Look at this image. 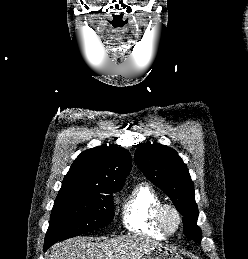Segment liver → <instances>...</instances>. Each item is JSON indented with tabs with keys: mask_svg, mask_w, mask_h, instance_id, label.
Listing matches in <instances>:
<instances>
[{
	"mask_svg": "<svg viewBox=\"0 0 248 259\" xmlns=\"http://www.w3.org/2000/svg\"><path fill=\"white\" fill-rule=\"evenodd\" d=\"M159 243L138 236H119L92 242L88 237H76L51 246L45 259H139Z\"/></svg>",
	"mask_w": 248,
	"mask_h": 259,
	"instance_id": "obj_1",
	"label": "liver"
}]
</instances>
